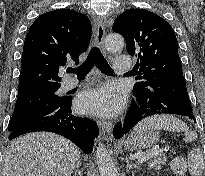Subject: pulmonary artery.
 I'll return each mask as SVG.
<instances>
[{
	"mask_svg": "<svg viewBox=\"0 0 205 176\" xmlns=\"http://www.w3.org/2000/svg\"><path fill=\"white\" fill-rule=\"evenodd\" d=\"M132 67L131 56L127 54L120 55L116 58L115 69L119 72L130 70ZM77 84L75 78H66L63 82L64 89H71Z\"/></svg>",
	"mask_w": 205,
	"mask_h": 176,
	"instance_id": "e3ab8cb5",
	"label": "pulmonary artery"
}]
</instances>
